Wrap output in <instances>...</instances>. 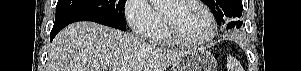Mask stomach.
Instances as JSON below:
<instances>
[{
    "mask_svg": "<svg viewBox=\"0 0 301 71\" xmlns=\"http://www.w3.org/2000/svg\"><path fill=\"white\" fill-rule=\"evenodd\" d=\"M215 57L206 49L188 51L173 64L172 71H217Z\"/></svg>",
    "mask_w": 301,
    "mask_h": 71,
    "instance_id": "1",
    "label": "stomach"
}]
</instances>
